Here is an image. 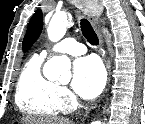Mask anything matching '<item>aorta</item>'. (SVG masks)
<instances>
[{
    "mask_svg": "<svg viewBox=\"0 0 145 124\" xmlns=\"http://www.w3.org/2000/svg\"><path fill=\"white\" fill-rule=\"evenodd\" d=\"M68 17L64 12L56 13L50 20L47 28L48 38L52 42L61 40L67 30ZM71 62L67 56H53L43 68V75L48 80L68 82L71 79ZM94 124H101L96 121Z\"/></svg>",
    "mask_w": 145,
    "mask_h": 124,
    "instance_id": "762f6f07",
    "label": "aorta"
}]
</instances>
